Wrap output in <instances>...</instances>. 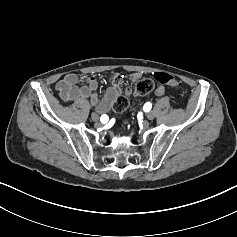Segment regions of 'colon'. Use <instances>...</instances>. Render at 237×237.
<instances>
[{
	"label": "colon",
	"mask_w": 237,
	"mask_h": 237,
	"mask_svg": "<svg viewBox=\"0 0 237 237\" xmlns=\"http://www.w3.org/2000/svg\"><path fill=\"white\" fill-rule=\"evenodd\" d=\"M154 77L161 84H168L173 86L178 84L175 77L164 72L155 73ZM154 86L155 84L152 79L150 78L140 79L139 81H137L135 85L133 94L135 96L149 94L154 89ZM128 105H129L128 97L126 95H121L114 102L113 110L116 113H122L128 108Z\"/></svg>",
	"instance_id": "obj_1"
}]
</instances>
